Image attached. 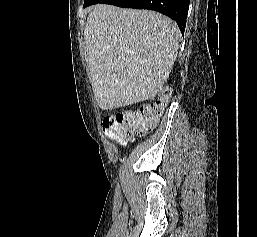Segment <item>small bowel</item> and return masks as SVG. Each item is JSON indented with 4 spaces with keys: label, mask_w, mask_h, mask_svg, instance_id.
<instances>
[{
    "label": "small bowel",
    "mask_w": 257,
    "mask_h": 237,
    "mask_svg": "<svg viewBox=\"0 0 257 237\" xmlns=\"http://www.w3.org/2000/svg\"><path fill=\"white\" fill-rule=\"evenodd\" d=\"M111 138L114 139V140H116L117 142H122L121 139H119V138H117V137H115V136H111Z\"/></svg>",
    "instance_id": "1"
}]
</instances>
